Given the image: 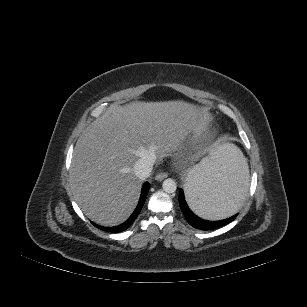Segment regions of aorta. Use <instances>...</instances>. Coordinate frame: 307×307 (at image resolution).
<instances>
[{
  "label": "aorta",
  "mask_w": 307,
  "mask_h": 307,
  "mask_svg": "<svg viewBox=\"0 0 307 307\" xmlns=\"http://www.w3.org/2000/svg\"><path fill=\"white\" fill-rule=\"evenodd\" d=\"M162 188L163 190L166 192V193H174L177 189V185H176V182L171 179V178H168L166 180H164L163 184H162Z\"/></svg>",
  "instance_id": "aorta-1"
}]
</instances>
